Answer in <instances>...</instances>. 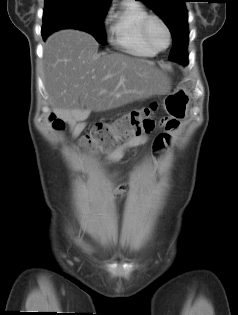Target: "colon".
Listing matches in <instances>:
<instances>
[{"label":"colon","instance_id":"1","mask_svg":"<svg viewBox=\"0 0 238 315\" xmlns=\"http://www.w3.org/2000/svg\"><path fill=\"white\" fill-rule=\"evenodd\" d=\"M155 105L129 112L113 123L99 122L90 133L81 139L82 146L89 151L108 150L119 142L152 132L161 120L155 118ZM52 126L57 130L64 128V122L55 116L50 117Z\"/></svg>","mask_w":238,"mask_h":315}]
</instances>
